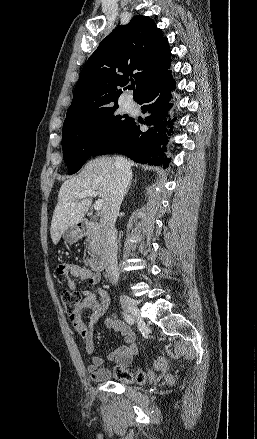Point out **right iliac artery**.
I'll return each mask as SVG.
<instances>
[{
    "label": "right iliac artery",
    "mask_w": 257,
    "mask_h": 439,
    "mask_svg": "<svg viewBox=\"0 0 257 439\" xmlns=\"http://www.w3.org/2000/svg\"><path fill=\"white\" fill-rule=\"evenodd\" d=\"M123 315H124V319L127 323H129V324L134 323V318L131 315L126 314V313H124Z\"/></svg>",
    "instance_id": "1"
}]
</instances>
